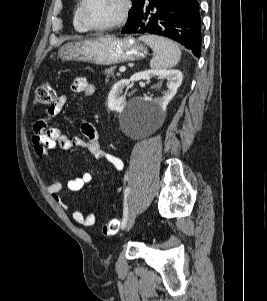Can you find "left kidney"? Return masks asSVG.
<instances>
[{
	"label": "left kidney",
	"mask_w": 267,
	"mask_h": 301,
	"mask_svg": "<svg viewBox=\"0 0 267 301\" xmlns=\"http://www.w3.org/2000/svg\"><path fill=\"white\" fill-rule=\"evenodd\" d=\"M160 76L169 79L168 89L163 93L162 97L152 99L145 97L146 102H152L158 109H164L170 100L175 96L179 86L182 83L183 75L179 70L153 69L135 73L130 79H122L114 84L108 94V108L111 111L122 112L126 106L124 97L121 96L122 90L128 86L130 82L139 80H150L152 77Z\"/></svg>",
	"instance_id": "5707ae66"
}]
</instances>
